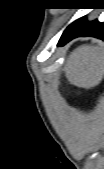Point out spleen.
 <instances>
[{
	"mask_svg": "<svg viewBox=\"0 0 104 169\" xmlns=\"http://www.w3.org/2000/svg\"><path fill=\"white\" fill-rule=\"evenodd\" d=\"M103 54L98 46L82 45L68 57L64 72L70 84L92 88L103 78Z\"/></svg>",
	"mask_w": 104,
	"mask_h": 169,
	"instance_id": "3e777b00",
	"label": "spleen"
}]
</instances>
